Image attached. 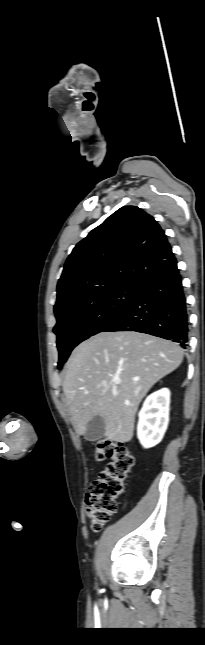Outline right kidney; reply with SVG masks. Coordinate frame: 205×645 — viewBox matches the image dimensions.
<instances>
[{
	"instance_id": "obj_1",
	"label": "right kidney",
	"mask_w": 205,
	"mask_h": 645,
	"mask_svg": "<svg viewBox=\"0 0 205 645\" xmlns=\"http://www.w3.org/2000/svg\"><path fill=\"white\" fill-rule=\"evenodd\" d=\"M170 391L167 388L149 395L139 412L137 437L144 448L161 442L169 423Z\"/></svg>"
}]
</instances>
